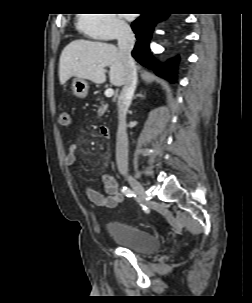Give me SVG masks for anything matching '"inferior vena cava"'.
Instances as JSON below:
<instances>
[{
	"instance_id": "obj_1",
	"label": "inferior vena cava",
	"mask_w": 252,
	"mask_h": 303,
	"mask_svg": "<svg viewBox=\"0 0 252 303\" xmlns=\"http://www.w3.org/2000/svg\"><path fill=\"white\" fill-rule=\"evenodd\" d=\"M118 49L126 69V80L118 97V131L116 138V162L121 174L128 172V136L126 132V114L131 104L136 86L137 70L131 51L135 44V36L130 26L125 22L118 25Z\"/></svg>"
}]
</instances>
